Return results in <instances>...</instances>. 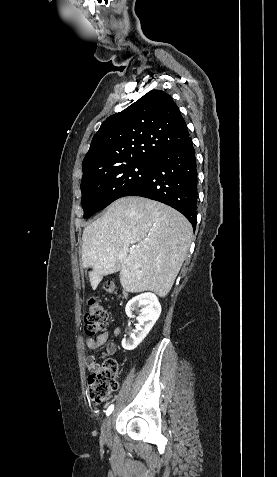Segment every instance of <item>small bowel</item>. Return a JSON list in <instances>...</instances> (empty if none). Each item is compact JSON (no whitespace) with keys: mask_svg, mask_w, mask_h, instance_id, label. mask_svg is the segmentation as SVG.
Wrapping results in <instances>:
<instances>
[{"mask_svg":"<svg viewBox=\"0 0 277 477\" xmlns=\"http://www.w3.org/2000/svg\"><path fill=\"white\" fill-rule=\"evenodd\" d=\"M119 333H120V328H118V327L115 328L114 331H113V338H112V340H110L108 342L109 329L106 328L104 330V332L102 334L98 335L96 338H91V337L86 338V340H85L86 346L91 350H96L99 347H101L102 345L106 344L105 353L107 355H113L117 350V345L115 343V338L119 335ZM94 363H96L95 356H92V355L89 356L87 358L88 366L90 367Z\"/></svg>","mask_w":277,"mask_h":477,"instance_id":"c3829d8e","label":"small bowel"}]
</instances>
